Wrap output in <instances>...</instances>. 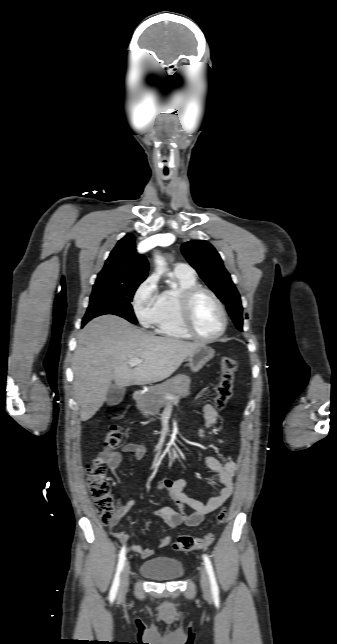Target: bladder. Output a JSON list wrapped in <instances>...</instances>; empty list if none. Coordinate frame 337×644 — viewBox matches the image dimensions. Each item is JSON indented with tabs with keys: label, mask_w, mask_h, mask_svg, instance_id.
Here are the masks:
<instances>
[{
	"label": "bladder",
	"mask_w": 337,
	"mask_h": 644,
	"mask_svg": "<svg viewBox=\"0 0 337 644\" xmlns=\"http://www.w3.org/2000/svg\"><path fill=\"white\" fill-rule=\"evenodd\" d=\"M140 573L154 581L169 582L180 579L184 566L179 559L171 557H154L144 561L139 567Z\"/></svg>",
	"instance_id": "obj_1"
}]
</instances>
